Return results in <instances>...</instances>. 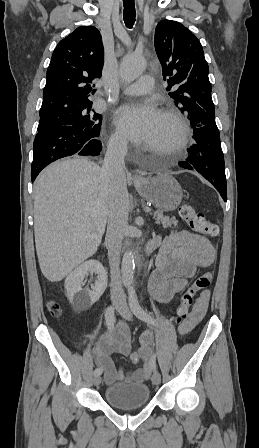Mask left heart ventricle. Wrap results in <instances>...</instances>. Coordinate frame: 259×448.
<instances>
[{
    "label": "left heart ventricle",
    "instance_id": "obj_1",
    "mask_svg": "<svg viewBox=\"0 0 259 448\" xmlns=\"http://www.w3.org/2000/svg\"><path fill=\"white\" fill-rule=\"evenodd\" d=\"M176 136V126L170 119L160 117L155 127L147 134V142L156 151L165 149Z\"/></svg>",
    "mask_w": 259,
    "mask_h": 448
}]
</instances>
